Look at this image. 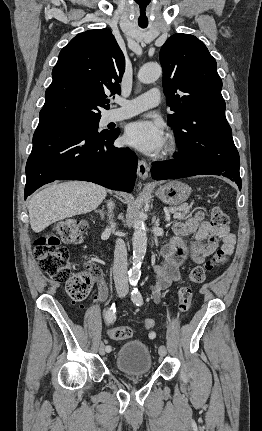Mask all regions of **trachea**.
Segmentation results:
<instances>
[{
	"mask_svg": "<svg viewBox=\"0 0 262 431\" xmlns=\"http://www.w3.org/2000/svg\"><path fill=\"white\" fill-rule=\"evenodd\" d=\"M136 2L138 4L140 14H145L146 9L149 5V1L148 0H136ZM141 27L146 28V26H141Z\"/></svg>",
	"mask_w": 262,
	"mask_h": 431,
	"instance_id": "trachea-1",
	"label": "trachea"
}]
</instances>
